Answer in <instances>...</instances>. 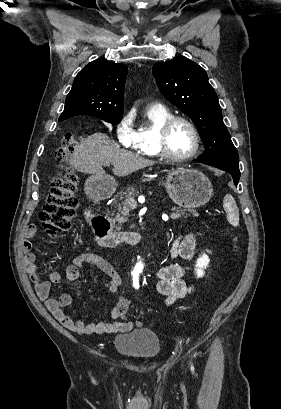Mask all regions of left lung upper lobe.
Listing matches in <instances>:
<instances>
[{
    "mask_svg": "<svg viewBox=\"0 0 281 409\" xmlns=\"http://www.w3.org/2000/svg\"><path fill=\"white\" fill-rule=\"evenodd\" d=\"M161 93L196 125L206 150L201 161H238L221 108L205 70L183 56L153 66Z\"/></svg>",
    "mask_w": 281,
    "mask_h": 409,
    "instance_id": "1",
    "label": "left lung upper lobe"
}]
</instances>
